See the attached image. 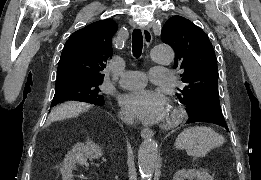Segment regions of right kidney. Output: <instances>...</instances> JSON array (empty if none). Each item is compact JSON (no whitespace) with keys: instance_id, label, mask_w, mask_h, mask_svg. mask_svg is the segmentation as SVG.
<instances>
[{"instance_id":"ca27d5eb","label":"right kidney","mask_w":261,"mask_h":180,"mask_svg":"<svg viewBox=\"0 0 261 180\" xmlns=\"http://www.w3.org/2000/svg\"><path fill=\"white\" fill-rule=\"evenodd\" d=\"M102 152L94 142H85V144H75L72 148V152H68L60 172L63 176V180H71L73 178L72 168L74 164H86L87 158H101Z\"/></svg>"}]
</instances>
